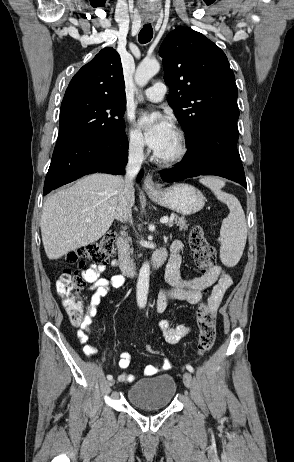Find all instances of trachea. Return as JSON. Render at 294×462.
<instances>
[{"instance_id":"3493384b","label":"trachea","mask_w":294,"mask_h":462,"mask_svg":"<svg viewBox=\"0 0 294 462\" xmlns=\"http://www.w3.org/2000/svg\"><path fill=\"white\" fill-rule=\"evenodd\" d=\"M153 37V29L151 24H146L144 27L141 29L138 35V40L141 44H145L149 42Z\"/></svg>"}]
</instances>
